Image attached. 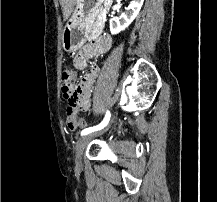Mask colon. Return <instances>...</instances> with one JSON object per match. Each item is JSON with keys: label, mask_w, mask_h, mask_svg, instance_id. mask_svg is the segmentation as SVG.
<instances>
[{"label": "colon", "mask_w": 217, "mask_h": 202, "mask_svg": "<svg viewBox=\"0 0 217 202\" xmlns=\"http://www.w3.org/2000/svg\"><path fill=\"white\" fill-rule=\"evenodd\" d=\"M79 76L74 71L66 72L63 74V85H62V93L67 100L68 103V111L70 112L66 117V125L71 129L74 130L73 123V111L80 109L81 102H89V96H80L84 94L83 90H76L75 82H78ZM79 128L82 130L87 127L86 121L84 118H80L78 121Z\"/></svg>", "instance_id": "colon-1"}]
</instances>
